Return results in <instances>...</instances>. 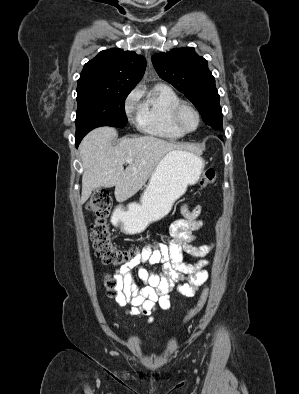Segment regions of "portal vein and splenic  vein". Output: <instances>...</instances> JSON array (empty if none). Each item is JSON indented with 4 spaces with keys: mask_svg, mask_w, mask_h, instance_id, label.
<instances>
[{
    "mask_svg": "<svg viewBox=\"0 0 299 394\" xmlns=\"http://www.w3.org/2000/svg\"><path fill=\"white\" fill-rule=\"evenodd\" d=\"M132 161H133L132 159H127L126 160V162L129 163V164L132 163Z\"/></svg>",
    "mask_w": 299,
    "mask_h": 394,
    "instance_id": "18ae733b",
    "label": "portal vein and splenic vein"
}]
</instances>
